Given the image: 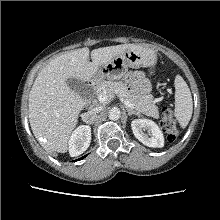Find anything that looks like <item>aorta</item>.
Listing matches in <instances>:
<instances>
[{"instance_id": "1", "label": "aorta", "mask_w": 220, "mask_h": 220, "mask_svg": "<svg viewBox=\"0 0 220 220\" xmlns=\"http://www.w3.org/2000/svg\"><path fill=\"white\" fill-rule=\"evenodd\" d=\"M121 112L120 109L117 107H113L111 108V110L109 111L108 117L110 120H118L120 118Z\"/></svg>"}]
</instances>
